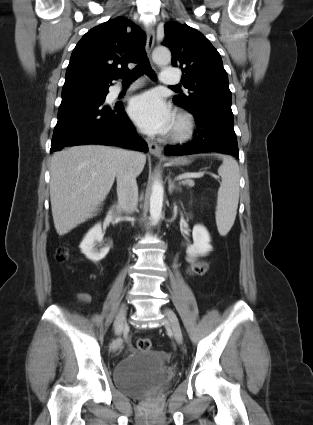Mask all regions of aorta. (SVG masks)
Wrapping results in <instances>:
<instances>
[{
    "label": "aorta",
    "mask_w": 313,
    "mask_h": 425,
    "mask_svg": "<svg viewBox=\"0 0 313 425\" xmlns=\"http://www.w3.org/2000/svg\"><path fill=\"white\" fill-rule=\"evenodd\" d=\"M153 61L160 65H168L171 61V52L166 47H157L152 54ZM164 188L160 180H156L152 186L150 196V216L154 223H157L161 217L163 207Z\"/></svg>",
    "instance_id": "aorta-1"
}]
</instances>
